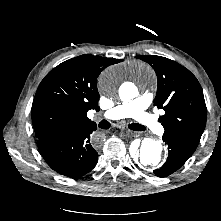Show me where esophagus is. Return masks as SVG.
<instances>
[{
  "mask_svg": "<svg viewBox=\"0 0 221 221\" xmlns=\"http://www.w3.org/2000/svg\"><path fill=\"white\" fill-rule=\"evenodd\" d=\"M125 133H126L127 136H134L135 135V132H132V131H129V130H126Z\"/></svg>",
  "mask_w": 221,
  "mask_h": 221,
  "instance_id": "esophagus-1",
  "label": "esophagus"
}]
</instances>
